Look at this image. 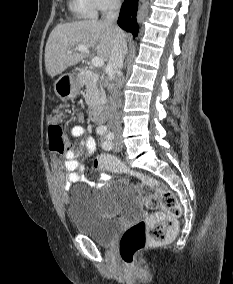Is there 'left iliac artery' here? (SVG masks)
<instances>
[{
  "label": "left iliac artery",
  "mask_w": 233,
  "mask_h": 284,
  "mask_svg": "<svg viewBox=\"0 0 233 284\" xmlns=\"http://www.w3.org/2000/svg\"><path fill=\"white\" fill-rule=\"evenodd\" d=\"M114 135L113 133L109 132L106 137H105V141L103 142L102 146L104 149L106 150H110L112 149V139H113Z\"/></svg>",
  "instance_id": "1"
}]
</instances>
